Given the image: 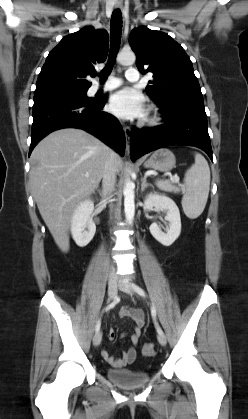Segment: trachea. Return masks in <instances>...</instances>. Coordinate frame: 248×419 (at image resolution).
<instances>
[{
  "mask_svg": "<svg viewBox=\"0 0 248 419\" xmlns=\"http://www.w3.org/2000/svg\"><path fill=\"white\" fill-rule=\"evenodd\" d=\"M110 32H111V49L109 54V60L106 67L100 74L101 81H105L107 76L110 74L116 54L120 46L121 32H122V14L119 9H115L111 16L110 21Z\"/></svg>",
  "mask_w": 248,
  "mask_h": 419,
  "instance_id": "trachea-1",
  "label": "trachea"
}]
</instances>
